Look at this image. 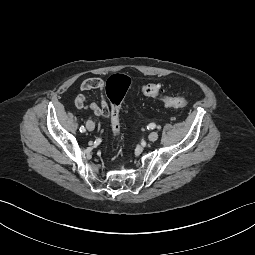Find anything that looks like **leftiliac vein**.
I'll use <instances>...</instances> for the list:
<instances>
[{
    "label": "left iliac vein",
    "mask_w": 255,
    "mask_h": 255,
    "mask_svg": "<svg viewBox=\"0 0 255 255\" xmlns=\"http://www.w3.org/2000/svg\"><path fill=\"white\" fill-rule=\"evenodd\" d=\"M148 139L150 141H156L158 139V133L157 132H151L148 136Z\"/></svg>",
    "instance_id": "1"
}]
</instances>
